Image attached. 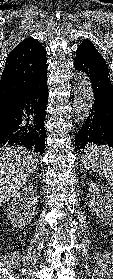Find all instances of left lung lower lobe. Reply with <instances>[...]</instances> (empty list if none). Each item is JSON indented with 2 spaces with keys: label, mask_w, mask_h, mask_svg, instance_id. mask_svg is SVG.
Returning <instances> with one entry per match:
<instances>
[{
  "label": "left lung lower lobe",
  "mask_w": 113,
  "mask_h": 279,
  "mask_svg": "<svg viewBox=\"0 0 113 279\" xmlns=\"http://www.w3.org/2000/svg\"><path fill=\"white\" fill-rule=\"evenodd\" d=\"M75 70L85 72L90 78L94 103L85 123L75 138V149L90 144L113 147V85L107 66L76 52Z\"/></svg>",
  "instance_id": "left-lung-lower-lobe-1"
}]
</instances>
